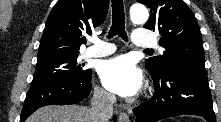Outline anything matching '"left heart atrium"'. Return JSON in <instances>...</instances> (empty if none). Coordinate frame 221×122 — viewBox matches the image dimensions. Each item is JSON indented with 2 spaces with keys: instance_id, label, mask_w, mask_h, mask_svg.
<instances>
[{
  "instance_id": "obj_1",
  "label": "left heart atrium",
  "mask_w": 221,
  "mask_h": 122,
  "mask_svg": "<svg viewBox=\"0 0 221 122\" xmlns=\"http://www.w3.org/2000/svg\"><path fill=\"white\" fill-rule=\"evenodd\" d=\"M98 72L104 87L122 97L134 96L142 86L140 70L126 55L103 61Z\"/></svg>"
}]
</instances>
